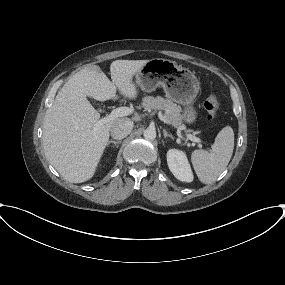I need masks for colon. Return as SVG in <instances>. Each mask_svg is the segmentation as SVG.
Wrapping results in <instances>:
<instances>
[{
    "instance_id": "obj_1",
    "label": "colon",
    "mask_w": 285,
    "mask_h": 285,
    "mask_svg": "<svg viewBox=\"0 0 285 285\" xmlns=\"http://www.w3.org/2000/svg\"><path fill=\"white\" fill-rule=\"evenodd\" d=\"M204 107L208 113L210 120L215 119L218 116L219 100L216 96H210L204 103Z\"/></svg>"
}]
</instances>
